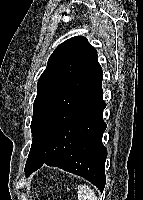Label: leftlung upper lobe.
<instances>
[{
    "instance_id": "left-lung-upper-lobe-1",
    "label": "left lung upper lobe",
    "mask_w": 143,
    "mask_h": 200,
    "mask_svg": "<svg viewBox=\"0 0 143 200\" xmlns=\"http://www.w3.org/2000/svg\"><path fill=\"white\" fill-rule=\"evenodd\" d=\"M96 56V49L82 36L70 38L54 50L46 69L38 80V92L33 105L31 128L42 108L68 86Z\"/></svg>"
}]
</instances>
